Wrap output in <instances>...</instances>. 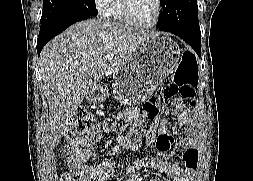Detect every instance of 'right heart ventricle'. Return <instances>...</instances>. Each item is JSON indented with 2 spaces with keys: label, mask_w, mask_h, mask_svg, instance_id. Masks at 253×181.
I'll return each instance as SVG.
<instances>
[{
  "label": "right heart ventricle",
  "mask_w": 253,
  "mask_h": 181,
  "mask_svg": "<svg viewBox=\"0 0 253 181\" xmlns=\"http://www.w3.org/2000/svg\"><path fill=\"white\" fill-rule=\"evenodd\" d=\"M110 18L114 22H122L123 21L122 12H121V1L120 0H115L114 1L113 10H112V14H111Z\"/></svg>",
  "instance_id": "right-heart-ventricle-1"
}]
</instances>
